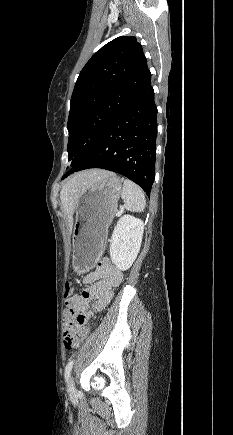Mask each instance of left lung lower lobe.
<instances>
[{
	"instance_id": "obj_1",
	"label": "left lung lower lobe",
	"mask_w": 233,
	"mask_h": 435,
	"mask_svg": "<svg viewBox=\"0 0 233 435\" xmlns=\"http://www.w3.org/2000/svg\"><path fill=\"white\" fill-rule=\"evenodd\" d=\"M157 108L151 83L129 108L116 118L89 155L71 173L102 168L122 174L149 196L154 181Z\"/></svg>"
}]
</instances>
